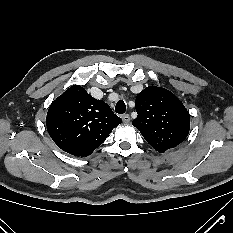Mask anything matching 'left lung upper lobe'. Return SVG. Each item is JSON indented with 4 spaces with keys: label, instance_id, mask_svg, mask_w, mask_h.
Wrapping results in <instances>:
<instances>
[{
    "label": "left lung upper lobe",
    "instance_id": "1",
    "mask_svg": "<svg viewBox=\"0 0 233 233\" xmlns=\"http://www.w3.org/2000/svg\"><path fill=\"white\" fill-rule=\"evenodd\" d=\"M138 117L133 125L158 152L176 147L190 129V116L183 103L169 90L149 86L136 98Z\"/></svg>",
    "mask_w": 233,
    "mask_h": 233
}]
</instances>
